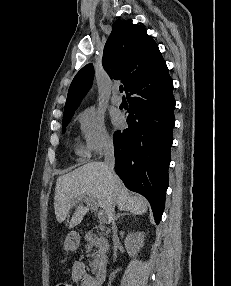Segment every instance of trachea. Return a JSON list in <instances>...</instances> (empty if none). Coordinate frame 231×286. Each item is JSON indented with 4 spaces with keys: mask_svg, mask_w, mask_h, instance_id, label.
<instances>
[{
    "mask_svg": "<svg viewBox=\"0 0 231 286\" xmlns=\"http://www.w3.org/2000/svg\"><path fill=\"white\" fill-rule=\"evenodd\" d=\"M119 90L121 93L123 92V86L122 85L119 87Z\"/></svg>",
    "mask_w": 231,
    "mask_h": 286,
    "instance_id": "obj_1",
    "label": "trachea"
}]
</instances>
